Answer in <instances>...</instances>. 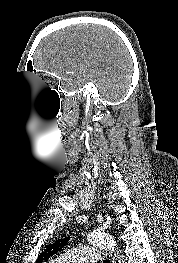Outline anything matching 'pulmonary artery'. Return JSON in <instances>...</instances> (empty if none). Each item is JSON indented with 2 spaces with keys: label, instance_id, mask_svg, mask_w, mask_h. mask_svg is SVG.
Returning a JSON list of instances; mask_svg holds the SVG:
<instances>
[{
  "label": "pulmonary artery",
  "instance_id": "e3ab8cb5",
  "mask_svg": "<svg viewBox=\"0 0 178 263\" xmlns=\"http://www.w3.org/2000/svg\"><path fill=\"white\" fill-rule=\"evenodd\" d=\"M99 258V250L96 247L83 246L62 253L56 260L59 263H96Z\"/></svg>",
  "mask_w": 178,
  "mask_h": 263
}]
</instances>
